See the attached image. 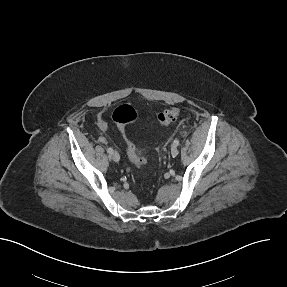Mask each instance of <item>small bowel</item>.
Listing matches in <instances>:
<instances>
[{"instance_id": "small-bowel-1", "label": "small bowel", "mask_w": 287, "mask_h": 287, "mask_svg": "<svg viewBox=\"0 0 287 287\" xmlns=\"http://www.w3.org/2000/svg\"><path fill=\"white\" fill-rule=\"evenodd\" d=\"M98 126L102 131H107L109 128L108 122L105 120L102 113L98 114Z\"/></svg>"}]
</instances>
